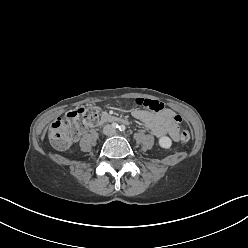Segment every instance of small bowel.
Segmentation results:
<instances>
[{"mask_svg":"<svg viewBox=\"0 0 248 248\" xmlns=\"http://www.w3.org/2000/svg\"><path fill=\"white\" fill-rule=\"evenodd\" d=\"M132 116L141 121L145 128L158 138L169 136L173 141H178L180 138L175 120L177 115L171 110L152 113L147 110L135 109L132 111Z\"/></svg>","mask_w":248,"mask_h":248,"instance_id":"obj_1","label":"small bowel"}]
</instances>
